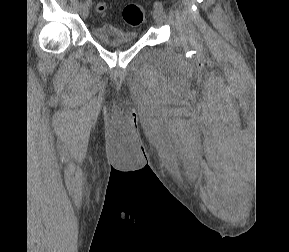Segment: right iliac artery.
Returning <instances> with one entry per match:
<instances>
[{
	"label": "right iliac artery",
	"instance_id": "82829eb1",
	"mask_svg": "<svg viewBox=\"0 0 289 252\" xmlns=\"http://www.w3.org/2000/svg\"><path fill=\"white\" fill-rule=\"evenodd\" d=\"M85 4H86L87 6H91L92 2H91V0H87V1L85 2Z\"/></svg>",
	"mask_w": 289,
	"mask_h": 252
}]
</instances>
